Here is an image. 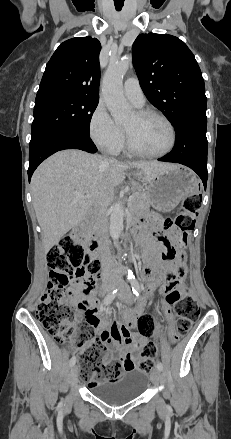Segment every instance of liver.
Wrapping results in <instances>:
<instances>
[{
  "label": "liver",
  "instance_id": "6515ba94",
  "mask_svg": "<svg viewBox=\"0 0 231 439\" xmlns=\"http://www.w3.org/2000/svg\"><path fill=\"white\" fill-rule=\"evenodd\" d=\"M175 166L156 161L120 162L77 149L63 150L46 159L31 179L45 254L83 220L99 198H104L106 207L111 203L125 170L137 168L143 172L142 182H150ZM76 194L90 198L78 199Z\"/></svg>",
  "mask_w": 231,
  "mask_h": 439
}]
</instances>
